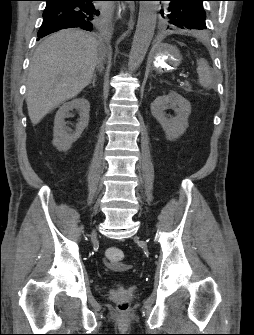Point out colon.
<instances>
[{"label": "colon", "instance_id": "colon-1", "mask_svg": "<svg viewBox=\"0 0 254 335\" xmlns=\"http://www.w3.org/2000/svg\"><path fill=\"white\" fill-rule=\"evenodd\" d=\"M105 256L112 266H119L124 260L123 251L116 247L108 248L105 252ZM128 308L129 304L126 301H122L118 304V309L121 312H126Z\"/></svg>", "mask_w": 254, "mask_h": 335}]
</instances>
